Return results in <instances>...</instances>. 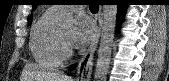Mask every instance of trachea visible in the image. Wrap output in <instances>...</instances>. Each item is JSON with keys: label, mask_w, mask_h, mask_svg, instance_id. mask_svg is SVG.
<instances>
[{"label": "trachea", "mask_w": 169, "mask_h": 81, "mask_svg": "<svg viewBox=\"0 0 169 81\" xmlns=\"http://www.w3.org/2000/svg\"><path fill=\"white\" fill-rule=\"evenodd\" d=\"M90 9H92V10H98V5L92 3V4H90Z\"/></svg>", "instance_id": "1"}]
</instances>
